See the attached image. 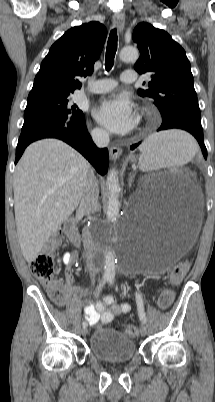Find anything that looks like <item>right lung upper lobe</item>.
Returning a JSON list of instances; mask_svg holds the SVG:
<instances>
[{
	"label": "right lung upper lobe",
	"instance_id": "1",
	"mask_svg": "<svg viewBox=\"0 0 215 402\" xmlns=\"http://www.w3.org/2000/svg\"><path fill=\"white\" fill-rule=\"evenodd\" d=\"M107 30L92 21L69 29L50 48L41 63L29 96L69 94L80 89L79 77L91 75L106 39Z\"/></svg>",
	"mask_w": 215,
	"mask_h": 402
}]
</instances>
